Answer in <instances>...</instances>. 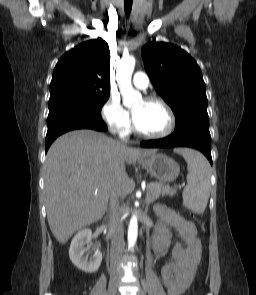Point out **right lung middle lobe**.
Returning <instances> with one entry per match:
<instances>
[{
    "label": "right lung middle lobe",
    "instance_id": "dd1d6c3e",
    "mask_svg": "<svg viewBox=\"0 0 256 295\" xmlns=\"http://www.w3.org/2000/svg\"><path fill=\"white\" fill-rule=\"evenodd\" d=\"M109 96H67L49 101L51 120L57 117H101V109Z\"/></svg>",
    "mask_w": 256,
    "mask_h": 295
}]
</instances>
